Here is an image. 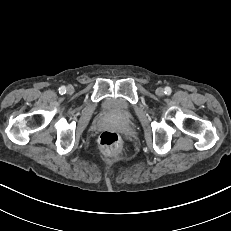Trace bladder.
Listing matches in <instances>:
<instances>
[{"mask_svg":"<svg viewBox=\"0 0 231 231\" xmlns=\"http://www.w3.org/2000/svg\"><path fill=\"white\" fill-rule=\"evenodd\" d=\"M106 109L117 115H125L127 113V108L119 101L113 99L107 101Z\"/></svg>","mask_w":231,"mask_h":231,"instance_id":"bladder-1","label":"bladder"}]
</instances>
